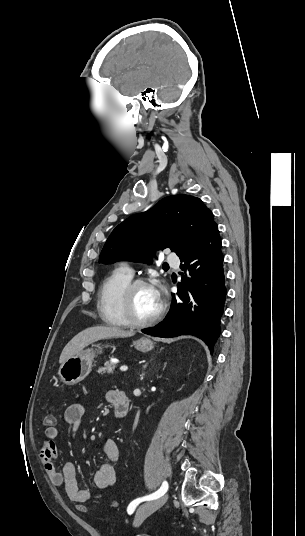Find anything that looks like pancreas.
Returning a JSON list of instances; mask_svg holds the SVG:
<instances>
[{"label": "pancreas", "instance_id": "1", "mask_svg": "<svg viewBox=\"0 0 305 536\" xmlns=\"http://www.w3.org/2000/svg\"><path fill=\"white\" fill-rule=\"evenodd\" d=\"M116 366L117 364H110V362H105L104 368H99L98 372L99 374H105V376H112V374H115L114 370Z\"/></svg>", "mask_w": 305, "mask_h": 536}]
</instances>
